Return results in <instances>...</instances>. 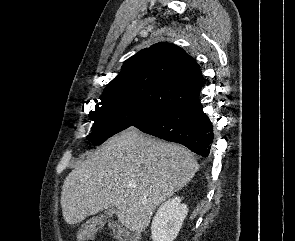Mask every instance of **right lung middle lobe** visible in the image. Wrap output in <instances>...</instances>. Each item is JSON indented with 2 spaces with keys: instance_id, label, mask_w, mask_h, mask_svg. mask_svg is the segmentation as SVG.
I'll return each mask as SVG.
<instances>
[{
  "instance_id": "right-lung-middle-lobe-1",
  "label": "right lung middle lobe",
  "mask_w": 295,
  "mask_h": 241,
  "mask_svg": "<svg viewBox=\"0 0 295 241\" xmlns=\"http://www.w3.org/2000/svg\"><path fill=\"white\" fill-rule=\"evenodd\" d=\"M100 100L95 110L89 113L94 124L87 139L94 145L102 144L129 127L139 128L148 124L164 112L125 99L101 97Z\"/></svg>"
}]
</instances>
